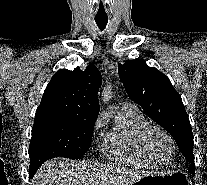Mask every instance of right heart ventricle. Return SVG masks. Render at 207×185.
<instances>
[{
  "instance_id": "1",
  "label": "right heart ventricle",
  "mask_w": 207,
  "mask_h": 185,
  "mask_svg": "<svg viewBox=\"0 0 207 185\" xmlns=\"http://www.w3.org/2000/svg\"><path fill=\"white\" fill-rule=\"evenodd\" d=\"M150 126L138 112L123 109L113 131L104 141V151L112 159L125 164L151 166L157 161L146 151L142 136Z\"/></svg>"
}]
</instances>
